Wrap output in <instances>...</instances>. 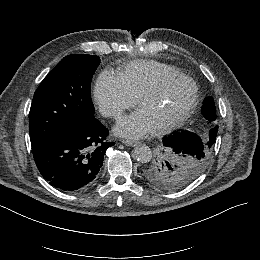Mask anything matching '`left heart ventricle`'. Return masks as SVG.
Segmentation results:
<instances>
[{"label":"left heart ventricle","mask_w":260,"mask_h":260,"mask_svg":"<svg viewBox=\"0 0 260 260\" xmlns=\"http://www.w3.org/2000/svg\"><path fill=\"white\" fill-rule=\"evenodd\" d=\"M193 84L178 79L164 85L159 92L146 98L139 105L154 127L178 117L189 104L194 95Z\"/></svg>","instance_id":"b2bd125f"}]
</instances>
